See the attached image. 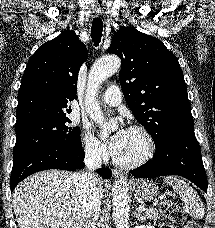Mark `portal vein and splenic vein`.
Returning <instances> with one entry per match:
<instances>
[{
  "mask_svg": "<svg viewBox=\"0 0 215 228\" xmlns=\"http://www.w3.org/2000/svg\"><path fill=\"white\" fill-rule=\"evenodd\" d=\"M138 210H140V212H145L146 208L145 206H139Z\"/></svg>",
  "mask_w": 215,
  "mask_h": 228,
  "instance_id": "portal-vein-and-splenic-vein-1",
  "label": "portal vein and splenic vein"
}]
</instances>
